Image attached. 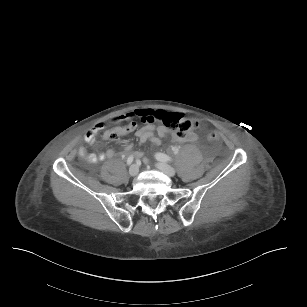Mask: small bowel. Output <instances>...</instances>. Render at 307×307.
Instances as JSON below:
<instances>
[{
	"mask_svg": "<svg viewBox=\"0 0 307 307\" xmlns=\"http://www.w3.org/2000/svg\"><path fill=\"white\" fill-rule=\"evenodd\" d=\"M153 113L154 112L150 109H136L132 112H129L125 115L118 117L116 122L120 123V122L130 120L132 118H140L145 123L144 126H142L136 131V136L138 137L140 144L145 143V142H150L152 143L153 146H158L161 143L160 137L170 138L171 140L175 142H180V143H194L197 141L198 137L194 132H191L184 137H179L175 133H172L166 128H164L163 126L156 127L152 119ZM101 129H102V125L100 124H97L93 126L91 129H89L86 132L85 137H84L85 142L88 144L96 143V136L98 135ZM155 131L157 132L158 136L155 135ZM131 149H132V143L126 142L123 145V151L125 153L131 151ZM79 153L88 162H91V163L102 161L106 158H111L115 155V151L113 149H108L103 153H98V154L89 153L88 154L84 147H81L79 149ZM135 156L137 158H141L143 156V153L137 152Z\"/></svg>",
	"mask_w": 307,
	"mask_h": 307,
	"instance_id": "c3829d8e",
	"label": "small bowel"
}]
</instances>
